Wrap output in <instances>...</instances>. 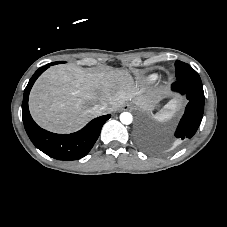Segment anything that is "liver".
I'll list each match as a JSON object with an SVG mask.
<instances>
[{"label": "liver", "instance_id": "1", "mask_svg": "<svg viewBox=\"0 0 227 227\" xmlns=\"http://www.w3.org/2000/svg\"><path fill=\"white\" fill-rule=\"evenodd\" d=\"M143 91L126 70L89 71L73 64L58 65L36 81L29 108L42 128L69 133L95 117L91 109L101 102L107 103V112L118 110L128 100L149 109L155 101L151 94L142 95Z\"/></svg>", "mask_w": 227, "mask_h": 227}]
</instances>
